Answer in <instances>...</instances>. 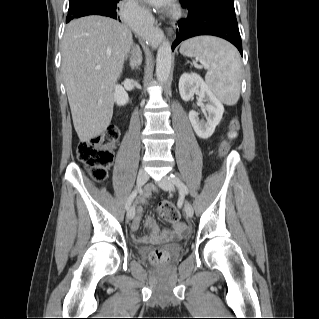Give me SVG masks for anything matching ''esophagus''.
<instances>
[{"label": "esophagus", "mask_w": 319, "mask_h": 319, "mask_svg": "<svg viewBox=\"0 0 319 319\" xmlns=\"http://www.w3.org/2000/svg\"><path fill=\"white\" fill-rule=\"evenodd\" d=\"M154 39L151 41L152 46H158V44L162 41L164 34L160 27L156 26L154 29Z\"/></svg>", "instance_id": "1"}]
</instances>
